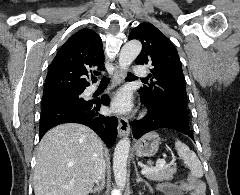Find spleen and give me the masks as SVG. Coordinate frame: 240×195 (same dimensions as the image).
Listing matches in <instances>:
<instances>
[{"mask_svg": "<svg viewBox=\"0 0 240 195\" xmlns=\"http://www.w3.org/2000/svg\"><path fill=\"white\" fill-rule=\"evenodd\" d=\"M175 147L180 159H183L184 163L188 165L192 175H194V177H202L203 167L195 151H192V149H190L186 143H182L180 139H176Z\"/></svg>", "mask_w": 240, "mask_h": 195, "instance_id": "3e777b00", "label": "spleen"}]
</instances>
